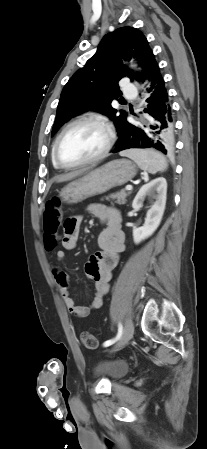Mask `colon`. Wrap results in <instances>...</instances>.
Returning a JSON list of instances; mask_svg holds the SVG:
<instances>
[{"mask_svg": "<svg viewBox=\"0 0 207 449\" xmlns=\"http://www.w3.org/2000/svg\"><path fill=\"white\" fill-rule=\"evenodd\" d=\"M62 212L60 202L57 198L47 201L45 206L43 230L44 243L48 249L54 248L58 243V230L61 225ZM83 344L89 349H95L98 346V340L90 333L81 334Z\"/></svg>", "mask_w": 207, "mask_h": 449, "instance_id": "5ec220e1", "label": "colon"}]
</instances>
